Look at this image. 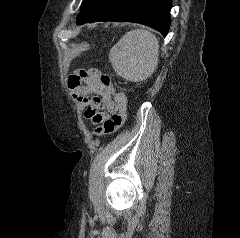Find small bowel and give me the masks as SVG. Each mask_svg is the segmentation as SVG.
Wrapping results in <instances>:
<instances>
[{"label":"small bowel","instance_id":"c3829d8e","mask_svg":"<svg viewBox=\"0 0 240 238\" xmlns=\"http://www.w3.org/2000/svg\"><path fill=\"white\" fill-rule=\"evenodd\" d=\"M98 72L95 69H77L68 78V87L73 97L80 105L85 106V117L96 125L118 111L112 94L98 81Z\"/></svg>","mask_w":240,"mask_h":238}]
</instances>
